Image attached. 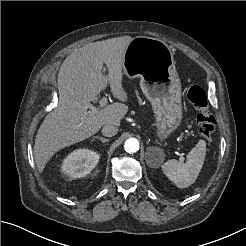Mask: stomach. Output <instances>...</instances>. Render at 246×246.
<instances>
[{"label": "stomach", "instance_id": "1", "mask_svg": "<svg viewBox=\"0 0 246 246\" xmlns=\"http://www.w3.org/2000/svg\"><path fill=\"white\" fill-rule=\"evenodd\" d=\"M123 70L129 78H140L158 124V139H166L179 127L183 115L181 82L170 46L157 38H133L124 54Z\"/></svg>", "mask_w": 246, "mask_h": 246}]
</instances>
